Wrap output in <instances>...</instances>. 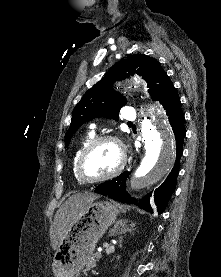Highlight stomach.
Listing matches in <instances>:
<instances>
[{
	"instance_id": "stomach-1",
	"label": "stomach",
	"mask_w": 221,
	"mask_h": 277,
	"mask_svg": "<svg viewBox=\"0 0 221 277\" xmlns=\"http://www.w3.org/2000/svg\"><path fill=\"white\" fill-rule=\"evenodd\" d=\"M118 213L117 207L108 201L93 202L81 211L56 249L52 263L54 276L78 277Z\"/></svg>"
}]
</instances>
